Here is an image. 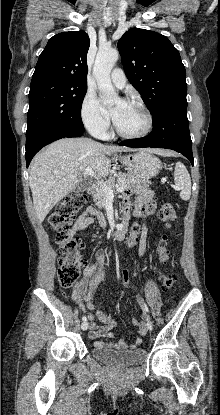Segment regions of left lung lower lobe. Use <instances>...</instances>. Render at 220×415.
I'll use <instances>...</instances> for the list:
<instances>
[{
    "instance_id": "1",
    "label": "left lung lower lobe",
    "mask_w": 220,
    "mask_h": 415,
    "mask_svg": "<svg viewBox=\"0 0 220 415\" xmlns=\"http://www.w3.org/2000/svg\"><path fill=\"white\" fill-rule=\"evenodd\" d=\"M152 132L144 137L125 140L120 146L133 148L155 147L175 150L189 159L193 165L192 141L187 118V101L163 107L153 117Z\"/></svg>"
}]
</instances>
